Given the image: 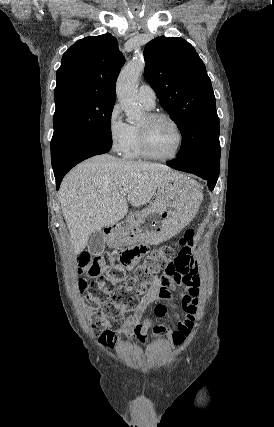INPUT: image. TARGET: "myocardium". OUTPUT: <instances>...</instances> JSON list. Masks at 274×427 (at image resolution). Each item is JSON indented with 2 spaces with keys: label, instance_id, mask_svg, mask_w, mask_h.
<instances>
[{
  "label": "myocardium",
  "instance_id": "myocardium-1",
  "mask_svg": "<svg viewBox=\"0 0 274 427\" xmlns=\"http://www.w3.org/2000/svg\"><path fill=\"white\" fill-rule=\"evenodd\" d=\"M145 117H146L145 125L137 126V141H138V147L141 154L147 159L161 161V162L170 161L177 158L182 151L183 143H184V136L177 121L170 115L166 113H161V112H149L145 115ZM159 119L168 121L173 126L177 134V147L174 153L165 157L157 156L154 153H152L149 150L148 144H147V125Z\"/></svg>",
  "mask_w": 274,
  "mask_h": 427
}]
</instances>
